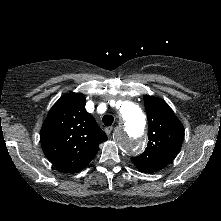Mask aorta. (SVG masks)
<instances>
[{"instance_id": "obj_1", "label": "aorta", "mask_w": 221, "mask_h": 221, "mask_svg": "<svg viewBox=\"0 0 221 221\" xmlns=\"http://www.w3.org/2000/svg\"><path fill=\"white\" fill-rule=\"evenodd\" d=\"M122 124L117 132L119 146L128 154H138L144 146L146 119L141 108L133 102L124 101L119 108Z\"/></svg>"}]
</instances>
